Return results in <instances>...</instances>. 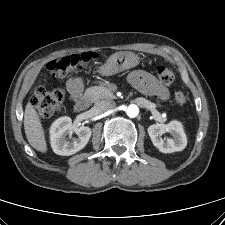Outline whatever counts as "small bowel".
I'll return each mask as SVG.
<instances>
[{"label": "small bowel", "mask_w": 225, "mask_h": 225, "mask_svg": "<svg viewBox=\"0 0 225 225\" xmlns=\"http://www.w3.org/2000/svg\"><path fill=\"white\" fill-rule=\"evenodd\" d=\"M129 81L141 93L145 95L157 96L165 100L169 96L167 87L161 83L154 75L144 70L133 71L129 75ZM85 80L82 77H71L66 83V90L69 94V99L76 102L83 93Z\"/></svg>", "instance_id": "1"}]
</instances>
